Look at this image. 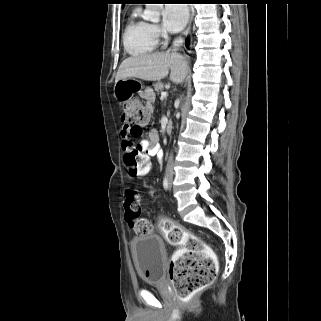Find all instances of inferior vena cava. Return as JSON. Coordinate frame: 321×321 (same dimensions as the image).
Returning a JSON list of instances; mask_svg holds the SVG:
<instances>
[{
  "instance_id": "obj_1",
  "label": "inferior vena cava",
  "mask_w": 321,
  "mask_h": 321,
  "mask_svg": "<svg viewBox=\"0 0 321 321\" xmlns=\"http://www.w3.org/2000/svg\"><path fill=\"white\" fill-rule=\"evenodd\" d=\"M183 43L182 38H178L173 42V49L176 50L179 48ZM167 175L172 177L173 176V156L170 155L168 162H167Z\"/></svg>"
}]
</instances>
